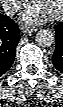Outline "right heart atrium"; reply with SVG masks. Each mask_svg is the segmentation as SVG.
<instances>
[{
    "instance_id": "obj_1",
    "label": "right heart atrium",
    "mask_w": 63,
    "mask_h": 107,
    "mask_svg": "<svg viewBox=\"0 0 63 107\" xmlns=\"http://www.w3.org/2000/svg\"><path fill=\"white\" fill-rule=\"evenodd\" d=\"M22 5V1L20 0H7L5 2V7L10 13H15L19 10Z\"/></svg>"
}]
</instances>
